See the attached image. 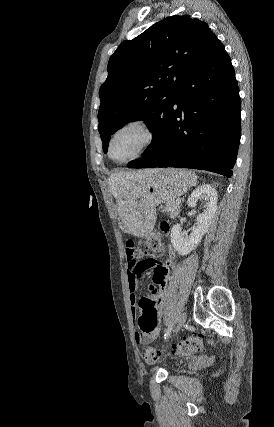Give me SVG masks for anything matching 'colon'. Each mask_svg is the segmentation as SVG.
I'll return each instance as SVG.
<instances>
[{"label": "colon", "mask_w": 274, "mask_h": 427, "mask_svg": "<svg viewBox=\"0 0 274 427\" xmlns=\"http://www.w3.org/2000/svg\"><path fill=\"white\" fill-rule=\"evenodd\" d=\"M167 230L168 226L162 224L154 229L148 236L143 238L133 250V254H135V262L148 260V257L152 254L157 256V253H160V249L165 248L162 246V243L164 241V234H166ZM202 346V341L198 337H187L178 345L173 346V353L180 356L190 357L197 351H200ZM139 355L140 358L143 359L144 364L158 363V356L153 348L141 350Z\"/></svg>", "instance_id": "5ec220e1"}]
</instances>
